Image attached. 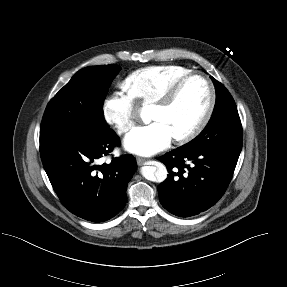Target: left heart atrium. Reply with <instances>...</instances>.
Returning a JSON list of instances; mask_svg holds the SVG:
<instances>
[{"mask_svg":"<svg viewBox=\"0 0 287 287\" xmlns=\"http://www.w3.org/2000/svg\"><path fill=\"white\" fill-rule=\"evenodd\" d=\"M173 136L161 121L134 128L125 138L124 145L132 153L150 156L169 147Z\"/></svg>","mask_w":287,"mask_h":287,"instance_id":"1","label":"left heart atrium"}]
</instances>
